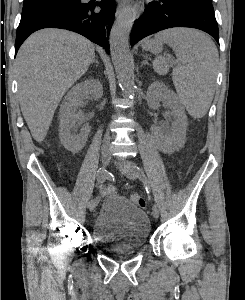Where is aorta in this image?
<instances>
[{
  "instance_id": "1",
  "label": "aorta",
  "mask_w": 245,
  "mask_h": 300,
  "mask_svg": "<svg viewBox=\"0 0 245 300\" xmlns=\"http://www.w3.org/2000/svg\"><path fill=\"white\" fill-rule=\"evenodd\" d=\"M136 16V10L129 7L116 19L110 33V50L119 85L128 97L136 91L134 72L129 49V35Z\"/></svg>"
}]
</instances>
